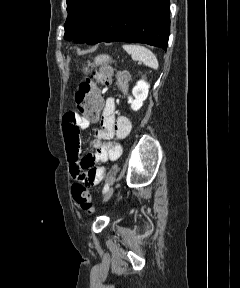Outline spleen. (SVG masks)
<instances>
[{"mask_svg": "<svg viewBox=\"0 0 240 288\" xmlns=\"http://www.w3.org/2000/svg\"><path fill=\"white\" fill-rule=\"evenodd\" d=\"M124 50L131 55L133 60H141L153 69L158 68L156 56L148 48L141 45H123Z\"/></svg>", "mask_w": 240, "mask_h": 288, "instance_id": "obj_1", "label": "spleen"}]
</instances>
